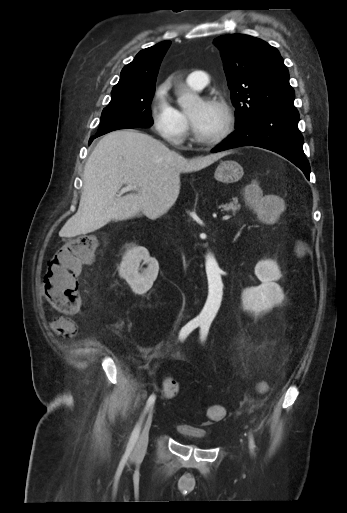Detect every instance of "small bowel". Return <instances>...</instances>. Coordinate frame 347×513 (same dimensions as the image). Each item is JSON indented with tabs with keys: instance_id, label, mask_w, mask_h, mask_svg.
Masks as SVG:
<instances>
[{
	"instance_id": "small-bowel-1",
	"label": "small bowel",
	"mask_w": 347,
	"mask_h": 513,
	"mask_svg": "<svg viewBox=\"0 0 347 513\" xmlns=\"http://www.w3.org/2000/svg\"><path fill=\"white\" fill-rule=\"evenodd\" d=\"M51 324L54 333L63 340H71L76 335L77 330L74 322L66 317H55L52 319ZM162 350L163 345L159 343L152 347H146L144 352L150 358L157 359L162 356Z\"/></svg>"
}]
</instances>
